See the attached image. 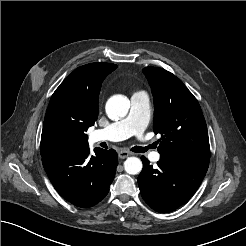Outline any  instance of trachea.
<instances>
[{"mask_svg": "<svg viewBox=\"0 0 246 246\" xmlns=\"http://www.w3.org/2000/svg\"><path fill=\"white\" fill-rule=\"evenodd\" d=\"M149 148H150V146L145 147V148L140 147V146H135V147L131 148V151H133V152H135V153H144V152H146Z\"/></svg>", "mask_w": 246, "mask_h": 246, "instance_id": "trachea-1", "label": "trachea"}]
</instances>
